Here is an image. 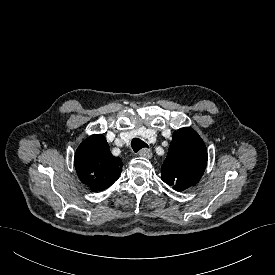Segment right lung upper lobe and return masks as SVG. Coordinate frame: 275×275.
I'll return each instance as SVG.
<instances>
[{
    "instance_id": "obj_1",
    "label": "right lung upper lobe",
    "mask_w": 275,
    "mask_h": 275,
    "mask_svg": "<svg viewBox=\"0 0 275 275\" xmlns=\"http://www.w3.org/2000/svg\"><path fill=\"white\" fill-rule=\"evenodd\" d=\"M74 164L81 182L92 191L104 190L120 176L122 161L109 150V145L102 134H94L78 147Z\"/></svg>"
}]
</instances>
